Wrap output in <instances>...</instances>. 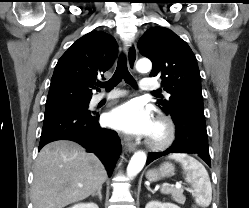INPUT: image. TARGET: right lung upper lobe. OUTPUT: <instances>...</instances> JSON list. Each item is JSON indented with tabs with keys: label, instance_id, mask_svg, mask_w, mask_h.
Here are the masks:
<instances>
[{
	"label": "right lung upper lobe",
	"instance_id": "right-lung-upper-lobe-1",
	"mask_svg": "<svg viewBox=\"0 0 249 208\" xmlns=\"http://www.w3.org/2000/svg\"><path fill=\"white\" fill-rule=\"evenodd\" d=\"M117 55L113 36L92 31L78 39L59 59L51 79L46 107L90 101L97 76Z\"/></svg>",
	"mask_w": 249,
	"mask_h": 208
}]
</instances>
